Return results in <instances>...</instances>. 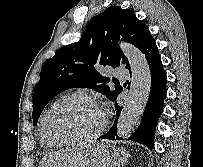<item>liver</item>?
I'll list each match as a JSON object with an SVG mask.
<instances>
[{"instance_id": "obj_1", "label": "liver", "mask_w": 203, "mask_h": 167, "mask_svg": "<svg viewBox=\"0 0 203 167\" xmlns=\"http://www.w3.org/2000/svg\"><path fill=\"white\" fill-rule=\"evenodd\" d=\"M89 152L82 150H66L45 156L39 167H80Z\"/></svg>"}]
</instances>
